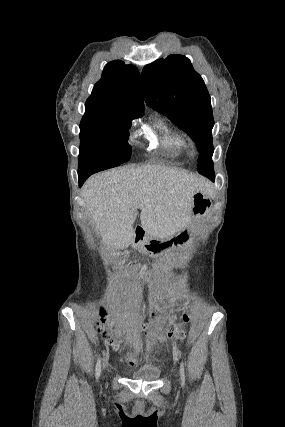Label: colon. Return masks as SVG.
Instances as JSON below:
<instances>
[{"label":"colon","mask_w":285,"mask_h":427,"mask_svg":"<svg viewBox=\"0 0 285 427\" xmlns=\"http://www.w3.org/2000/svg\"><path fill=\"white\" fill-rule=\"evenodd\" d=\"M122 261L126 266H128L130 268H134L138 271H143V273L148 274V275L152 273L150 270L140 267V265L137 262H133V261L128 260L125 256L122 257ZM101 317L104 320L105 312H102ZM184 321L188 322L189 318L187 316H184ZM97 331L99 333H102V337L104 339L107 340L110 338V334L107 331H105V329L102 325L97 326ZM166 337L168 339H174L176 341H181L185 337V331L181 327L169 328L166 332ZM125 358L129 364H134L136 362L138 356L134 351H127Z\"/></svg>","instance_id":"1"}]
</instances>
